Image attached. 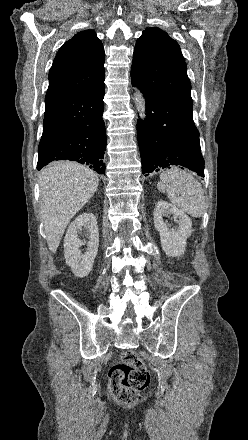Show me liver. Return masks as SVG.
<instances>
[{
	"instance_id": "1",
	"label": "liver",
	"mask_w": 248,
	"mask_h": 440,
	"mask_svg": "<svg viewBox=\"0 0 248 440\" xmlns=\"http://www.w3.org/2000/svg\"><path fill=\"white\" fill-rule=\"evenodd\" d=\"M98 184L97 174L76 162H54L41 171L40 211L51 252H56L68 223L94 195Z\"/></svg>"
}]
</instances>
